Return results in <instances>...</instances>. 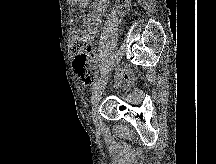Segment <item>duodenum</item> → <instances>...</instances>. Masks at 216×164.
Returning a JSON list of instances; mask_svg holds the SVG:
<instances>
[{
  "label": "duodenum",
  "mask_w": 216,
  "mask_h": 164,
  "mask_svg": "<svg viewBox=\"0 0 216 164\" xmlns=\"http://www.w3.org/2000/svg\"><path fill=\"white\" fill-rule=\"evenodd\" d=\"M106 0H94V8L96 10H101L105 7Z\"/></svg>",
  "instance_id": "1"
}]
</instances>
